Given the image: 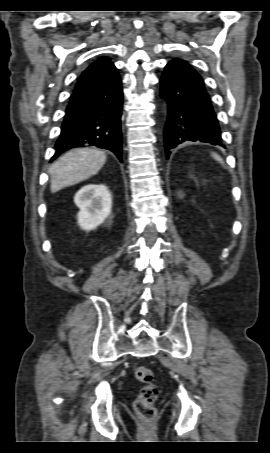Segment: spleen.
Returning <instances> with one entry per match:
<instances>
[{"instance_id": "obj_1", "label": "spleen", "mask_w": 270, "mask_h": 453, "mask_svg": "<svg viewBox=\"0 0 270 453\" xmlns=\"http://www.w3.org/2000/svg\"><path fill=\"white\" fill-rule=\"evenodd\" d=\"M211 156H212L217 162H219V163H221L222 165H224V161H223V159L221 158L220 155H218V154L215 153V152H212V153H211Z\"/></svg>"}]
</instances>
